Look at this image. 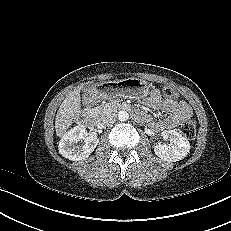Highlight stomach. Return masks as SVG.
I'll list each match as a JSON object with an SVG mask.
<instances>
[{"label": "stomach", "instance_id": "1", "mask_svg": "<svg viewBox=\"0 0 231 231\" xmlns=\"http://www.w3.org/2000/svg\"><path fill=\"white\" fill-rule=\"evenodd\" d=\"M150 92V85L139 78H126L109 82L108 95L142 99Z\"/></svg>", "mask_w": 231, "mask_h": 231}]
</instances>
